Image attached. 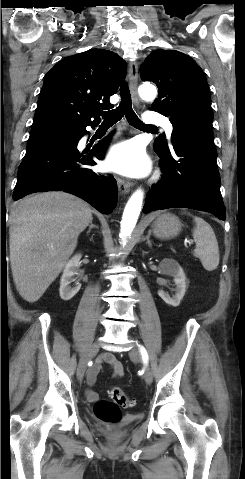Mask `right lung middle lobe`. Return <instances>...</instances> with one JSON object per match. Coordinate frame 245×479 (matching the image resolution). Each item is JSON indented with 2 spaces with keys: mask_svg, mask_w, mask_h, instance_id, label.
I'll list each match as a JSON object with an SVG mask.
<instances>
[{
  "mask_svg": "<svg viewBox=\"0 0 245 479\" xmlns=\"http://www.w3.org/2000/svg\"><path fill=\"white\" fill-rule=\"evenodd\" d=\"M71 130H74V129H48V130L31 131L30 137L28 139V145L35 143L39 140H42L46 137H49L53 134L65 132V131H71Z\"/></svg>",
  "mask_w": 245,
  "mask_h": 479,
  "instance_id": "dd1d6c3e",
  "label": "right lung middle lobe"
}]
</instances>
